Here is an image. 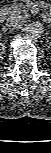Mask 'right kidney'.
Instances as JSON below:
<instances>
[{
	"label": "right kidney",
	"mask_w": 51,
	"mask_h": 153,
	"mask_svg": "<svg viewBox=\"0 0 51 153\" xmlns=\"http://www.w3.org/2000/svg\"><path fill=\"white\" fill-rule=\"evenodd\" d=\"M3 50H4V46H2V47H1V53H3V52H4Z\"/></svg>",
	"instance_id": "1"
}]
</instances>
